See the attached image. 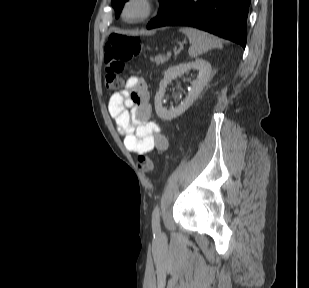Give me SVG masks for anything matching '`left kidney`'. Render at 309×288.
Returning a JSON list of instances; mask_svg holds the SVG:
<instances>
[{
  "mask_svg": "<svg viewBox=\"0 0 309 288\" xmlns=\"http://www.w3.org/2000/svg\"><path fill=\"white\" fill-rule=\"evenodd\" d=\"M191 69L198 70L199 74L197 79L191 82V89L188 92V95L178 107L167 110L163 106L165 88L172 80ZM211 70V64L204 59H196L193 62L182 63L168 68L164 73V78L160 81L159 91L156 93L154 100L157 115L164 120H172L185 112L207 85Z\"/></svg>",
  "mask_w": 309,
  "mask_h": 288,
  "instance_id": "obj_1",
  "label": "left kidney"
}]
</instances>
